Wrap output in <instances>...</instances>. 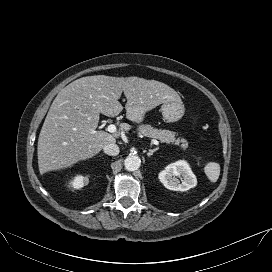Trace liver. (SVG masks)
Returning <instances> with one entry per match:
<instances>
[{"label": "liver", "mask_w": 272, "mask_h": 272, "mask_svg": "<svg viewBox=\"0 0 272 272\" xmlns=\"http://www.w3.org/2000/svg\"><path fill=\"white\" fill-rule=\"evenodd\" d=\"M127 98L126 118L134 123L145 114L169 101L180 100L168 85L139 77L87 76L63 88L54 99L38 138L37 154L40 174L59 170L99 153L105 145L115 143L118 133L97 131L100 114L117 116ZM131 126L120 124V130Z\"/></svg>", "instance_id": "1"}]
</instances>
